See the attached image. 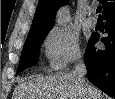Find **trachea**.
Here are the masks:
<instances>
[{"mask_svg": "<svg viewBox=\"0 0 115 99\" xmlns=\"http://www.w3.org/2000/svg\"><path fill=\"white\" fill-rule=\"evenodd\" d=\"M101 11H102V7L99 6V7L97 8V10H96V13H100Z\"/></svg>", "mask_w": 115, "mask_h": 99, "instance_id": "3493384b", "label": "trachea"}]
</instances>
